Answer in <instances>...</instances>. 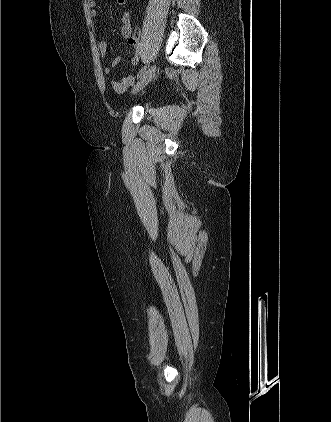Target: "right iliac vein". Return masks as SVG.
<instances>
[{"instance_id":"obj_1","label":"right iliac vein","mask_w":331,"mask_h":422,"mask_svg":"<svg viewBox=\"0 0 331 422\" xmlns=\"http://www.w3.org/2000/svg\"><path fill=\"white\" fill-rule=\"evenodd\" d=\"M155 70L156 67L152 66L151 68H149L145 74L143 75V77L138 81V83L134 86V89L132 91L133 94L138 93L139 91H141L144 87L147 86V84L151 81V79L153 78L154 74H155Z\"/></svg>"}]
</instances>
